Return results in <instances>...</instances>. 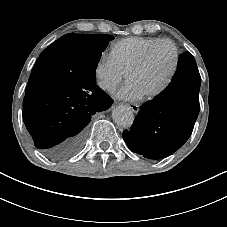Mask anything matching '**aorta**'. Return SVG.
I'll return each mask as SVG.
<instances>
[{
    "label": "aorta",
    "instance_id": "762f6f07",
    "mask_svg": "<svg viewBox=\"0 0 227 227\" xmlns=\"http://www.w3.org/2000/svg\"><path fill=\"white\" fill-rule=\"evenodd\" d=\"M112 119L118 126L128 128L133 124L134 114L130 107L120 105L113 109Z\"/></svg>",
    "mask_w": 227,
    "mask_h": 227
}]
</instances>
